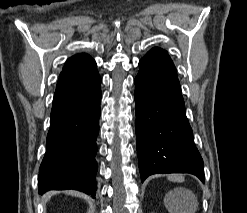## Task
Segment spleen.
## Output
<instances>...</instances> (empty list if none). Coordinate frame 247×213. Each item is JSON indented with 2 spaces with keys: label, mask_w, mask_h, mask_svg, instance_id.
<instances>
[{
  "label": "spleen",
  "mask_w": 247,
  "mask_h": 213,
  "mask_svg": "<svg viewBox=\"0 0 247 213\" xmlns=\"http://www.w3.org/2000/svg\"><path fill=\"white\" fill-rule=\"evenodd\" d=\"M168 180L173 181V182H182L184 180V177L182 175H177V174H173V175H169L168 176ZM169 210L171 213H179L178 212V206L185 204V201L182 200L179 197H175L172 193H170V199H169ZM195 210V206L190 207L189 209V213H193Z\"/></svg>",
  "instance_id": "obj_1"
}]
</instances>
